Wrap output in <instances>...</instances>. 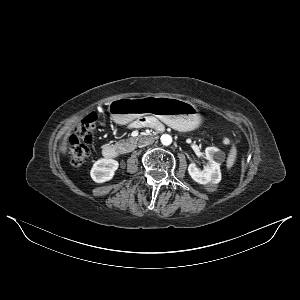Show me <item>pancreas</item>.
Wrapping results in <instances>:
<instances>
[{
  "instance_id": "obj_1",
  "label": "pancreas",
  "mask_w": 300,
  "mask_h": 300,
  "mask_svg": "<svg viewBox=\"0 0 300 300\" xmlns=\"http://www.w3.org/2000/svg\"><path fill=\"white\" fill-rule=\"evenodd\" d=\"M137 139L135 138H130L127 140H121L120 142L117 143V146H119L122 150V152L126 153L129 152L130 149V143L136 141Z\"/></svg>"
}]
</instances>
